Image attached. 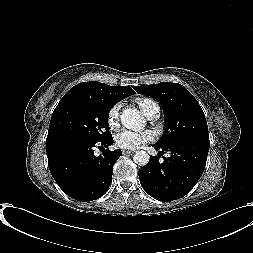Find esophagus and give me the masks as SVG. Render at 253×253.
Returning a JSON list of instances; mask_svg holds the SVG:
<instances>
[{
	"label": "esophagus",
	"mask_w": 253,
	"mask_h": 253,
	"mask_svg": "<svg viewBox=\"0 0 253 253\" xmlns=\"http://www.w3.org/2000/svg\"><path fill=\"white\" fill-rule=\"evenodd\" d=\"M122 152L124 155H132L135 153V151H132V150H123Z\"/></svg>",
	"instance_id": "obj_1"
}]
</instances>
